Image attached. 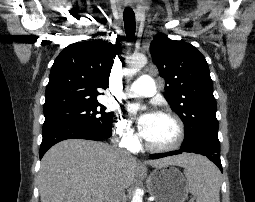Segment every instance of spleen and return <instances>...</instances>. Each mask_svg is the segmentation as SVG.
<instances>
[{
  "mask_svg": "<svg viewBox=\"0 0 255 202\" xmlns=\"http://www.w3.org/2000/svg\"><path fill=\"white\" fill-rule=\"evenodd\" d=\"M184 174L196 202H220L221 174L208 159L196 155Z\"/></svg>",
  "mask_w": 255,
  "mask_h": 202,
  "instance_id": "1",
  "label": "spleen"
}]
</instances>
